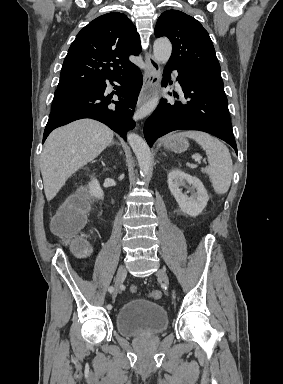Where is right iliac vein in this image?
I'll return each instance as SVG.
<instances>
[{"instance_id": "obj_1", "label": "right iliac vein", "mask_w": 283, "mask_h": 384, "mask_svg": "<svg viewBox=\"0 0 283 384\" xmlns=\"http://www.w3.org/2000/svg\"><path fill=\"white\" fill-rule=\"evenodd\" d=\"M127 271L125 266L121 265L118 268L116 278H115V284H114V290H113V298H115L120 290V287L126 277Z\"/></svg>"}]
</instances>
